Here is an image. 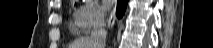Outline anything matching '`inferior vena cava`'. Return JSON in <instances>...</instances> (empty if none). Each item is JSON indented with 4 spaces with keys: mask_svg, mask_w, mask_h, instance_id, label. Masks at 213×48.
<instances>
[{
    "mask_svg": "<svg viewBox=\"0 0 213 48\" xmlns=\"http://www.w3.org/2000/svg\"><path fill=\"white\" fill-rule=\"evenodd\" d=\"M106 24L104 19V14L101 12H96L93 29L91 31L90 39L95 45V48H104L106 41Z\"/></svg>",
    "mask_w": 213,
    "mask_h": 48,
    "instance_id": "1",
    "label": "inferior vena cava"
}]
</instances>
